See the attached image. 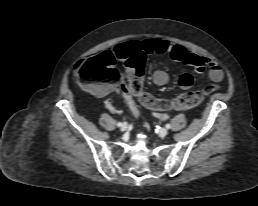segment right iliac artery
<instances>
[{
	"label": "right iliac artery",
	"instance_id": "1",
	"mask_svg": "<svg viewBox=\"0 0 258 206\" xmlns=\"http://www.w3.org/2000/svg\"><path fill=\"white\" fill-rule=\"evenodd\" d=\"M121 125H122L121 122H118V123H117V126H118V127H121Z\"/></svg>",
	"mask_w": 258,
	"mask_h": 206
}]
</instances>
